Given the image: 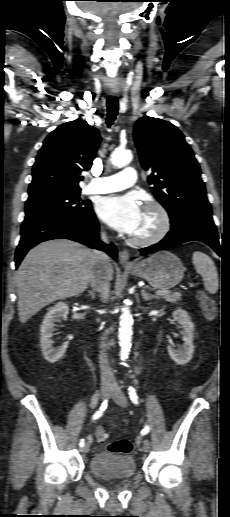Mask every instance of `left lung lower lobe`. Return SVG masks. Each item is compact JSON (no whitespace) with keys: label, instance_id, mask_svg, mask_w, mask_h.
I'll use <instances>...</instances> for the list:
<instances>
[{"label":"left lung lower lobe","instance_id":"1","mask_svg":"<svg viewBox=\"0 0 230 517\" xmlns=\"http://www.w3.org/2000/svg\"><path fill=\"white\" fill-rule=\"evenodd\" d=\"M201 241L214 249L216 253L222 256V248L218 241L216 226L212 217L196 218L187 221L179 228H171L167 236L159 243L140 249L142 255L151 254L164 248L185 243L188 241Z\"/></svg>","mask_w":230,"mask_h":517}]
</instances>
